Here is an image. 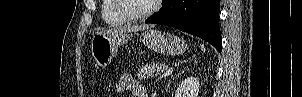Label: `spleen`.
Here are the masks:
<instances>
[{
    "label": "spleen",
    "mask_w": 302,
    "mask_h": 97,
    "mask_svg": "<svg viewBox=\"0 0 302 97\" xmlns=\"http://www.w3.org/2000/svg\"><path fill=\"white\" fill-rule=\"evenodd\" d=\"M201 50H202L203 52H205V47H204V45H201Z\"/></svg>",
    "instance_id": "3e777b00"
}]
</instances>
